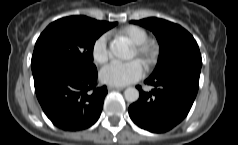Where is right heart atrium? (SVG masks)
<instances>
[{
	"label": "right heart atrium",
	"instance_id": "right-heart-atrium-1",
	"mask_svg": "<svg viewBox=\"0 0 238 145\" xmlns=\"http://www.w3.org/2000/svg\"><path fill=\"white\" fill-rule=\"evenodd\" d=\"M91 55L95 63L104 64L110 58L107 35L96 38L91 47Z\"/></svg>",
	"mask_w": 238,
	"mask_h": 145
}]
</instances>
